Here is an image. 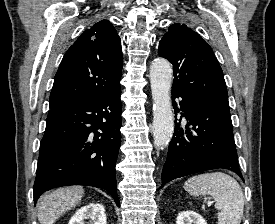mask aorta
<instances>
[{
    "label": "aorta",
    "instance_id": "1",
    "mask_svg": "<svg viewBox=\"0 0 275 224\" xmlns=\"http://www.w3.org/2000/svg\"><path fill=\"white\" fill-rule=\"evenodd\" d=\"M172 67L165 59H155L150 67L153 99V138L158 148L167 146L174 132L170 89Z\"/></svg>",
    "mask_w": 275,
    "mask_h": 224
}]
</instances>
